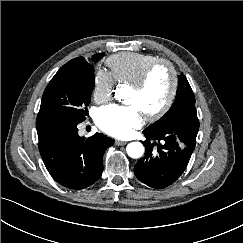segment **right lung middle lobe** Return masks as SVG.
<instances>
[{
	"instance_id": "right-lung-middle-lobe-1",
	"label": "right lung middle lobe",
	"mask_w": 243,
	"mask_h": 243,
	"mask_svg": "<svg viewBox=\"0 0 243 243\" xmlns=\"http://www.w3.org/2000/svg\"><path fill=\"white\" fill-rule=\"evenodd\" d=\"M103 55L95 54L92 60L96 62ZM93 88L94 67L91 64L84 67H61L43 93L37 120L84 121Z\"/></svg>"
}]
</instances>
